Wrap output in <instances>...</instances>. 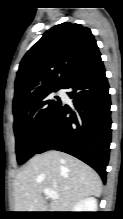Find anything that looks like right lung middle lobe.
I'll return each instance as SVG.
<instances>
[{"label": "right lung middle lobe", "mask_w": 123, "mask_h": 219, "mask_svg": "<svg viewBox=\"0 0 123 219\" xmlns=\"http://www.w3.org/2000/svg\"><path fill=\"white\" fill-rule=\"evenodd\" d=\"M60 88L41 91L13 104L19 164H23L37 152L47 126L61 105L60 98L52 95Z\"/></svg>", "instance_id": "right-lung-middle-lobe-1"}]
</instances>
